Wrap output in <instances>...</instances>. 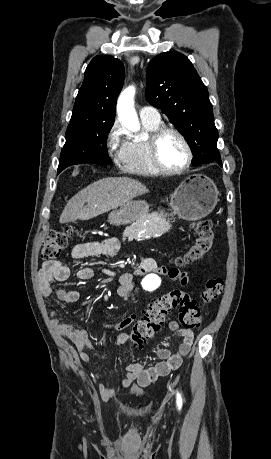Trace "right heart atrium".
Masks as SVG:
<instances>
[{
	"label": "right heart atrium",
	"mask_w": 271,
	"mask_h": 459,
	"mask_svg": "<svg viewBox=\"0 0 271 459\" xmlns=\"http://www.w3.org/2000/svg\"><path fill=\"white\" fill-rule=\"evenodd\" d=\"M128 142L122 139V130L118 120H115L104 135V147L107 154L116 165L122 164L124 151Z\"/></svg>",
	"instance_id": "right-heart-atrium-1"
}]
</instances>
